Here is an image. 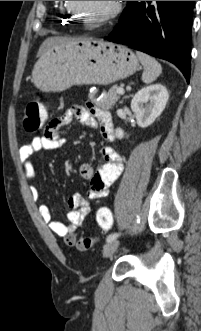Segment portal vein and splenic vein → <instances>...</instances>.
I'll return each mask as SVG.
<instances>
[{"label": "portal vein and splenic vein", "mask_w": 201, "mask_h": 331, "mask_svg": "<svg viewBox=\"0 0 201 331\" xmlns=\"http://www.w3.org/2000/svg\"><path fill=\"white\" fill-rule=\"evenodd\" d=\"M117 93H118L119 95H123V94L125 93V90H124L123 88H118V89H117Z\"/></svg>", "instance_id": "obj_1"}]
</instances>
